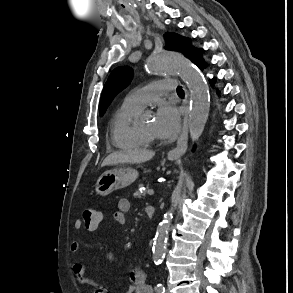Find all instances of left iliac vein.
Here are the masks:
<instances>
[{
  "instance_id": "left-iliac-vein-1",
  "label": "left iliac vein",
  "mask_w": 293,
  "mask_h": 293,
  "mask_svg": "<svg viewBox=\"0 0 293 293\" xmlns=\"http://www.w3.org/2000/svg\"><path fill=\"white\" fill-rule=\"evenodd\" d=\"M166 293H170L168 289L166 290Z\"/></svg>"
}]
</instances>
